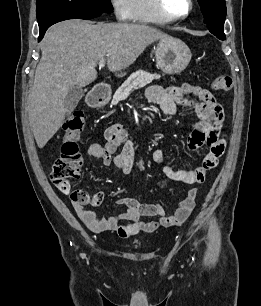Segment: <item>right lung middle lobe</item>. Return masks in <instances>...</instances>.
Wrapping results in <instances>:
<instances>
[{
  "instance_id": "obj_1",
  "label": "right lung middle lobe",
  "mask_w": 261,
  "mask_h": 306,
  "mask_svg": "<svg viewBox=\"0 0 261 306\" xmlns=\"http://www.w3.org/2000/svg\"><path fill=\"white\" fill-rule=\"evenodd\" d=\"M37 8H51L88 13H111L110 0H37Z\"/></svg>"
}]
</instances>
